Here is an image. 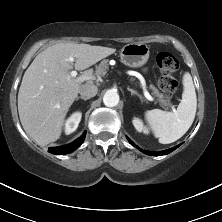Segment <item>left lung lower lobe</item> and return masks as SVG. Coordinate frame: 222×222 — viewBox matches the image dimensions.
I'll return each instance as SVG.
<instances>
[{
	"label": "left lung lower lobe",
	"mask_w": 222,
	"mask_h": 222,
	"mask_svg": "<svg viewBox=\"0 0 222 222\" xmlns=\"http://www.w3.org/2000/svg\"><path fill=\"white\" fill-rule=\"evenodd\" d=\"M128 139V138H127ZM129 143L133 146H135V144L130 140L128 139ZM180 145L178 146H175L171 149H168V150H165V151H161V152H148V151H143L141 150L142 152L146 153L147 155H153V156H160V155H166V154H169L170 152L174 151L176 148H178Z\"/></svg>",
	"instance_id": "obj_1"
}]
</instances>
